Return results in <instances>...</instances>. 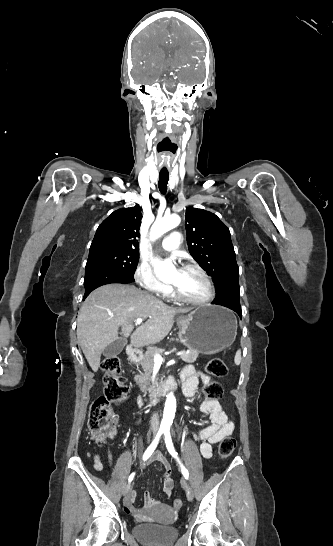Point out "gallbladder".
<instances>
[{
    "mask_svg": "<svg viewBox=\"0 0 333 546\" xmlns=\"http://www.w3.org/2000/svg\"><path fill=\"white\" fill-rule=\"evenodd\" d=\"M126 339L122 338L118 341H115L113 343H111L109 346H107L104 351H103V355L105 357H115L117 356L118 354H120L124 348V346L126 345Z\"/></svg>",
    "mask_w": 333,
    "mask_h": 546,
    "instance_id": "gallbladder-1",
    "label": "gallbladder"
}]
</instances>
